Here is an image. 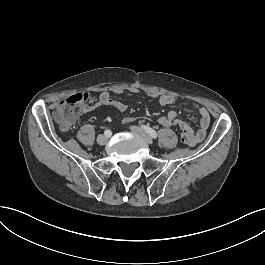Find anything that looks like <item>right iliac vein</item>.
Masks as SVG:
<instances>
[{"mask_svg":"<svg viewBox=\"0 0 265 265\" xmlns=\"http://www.w3.org/2000/svg\"><path fill=\"white\" fill-rule=\"evenodd\" d=\"M107 140H108V137L105 136V135H99L97 137V142H98L99 145H105Z\"/></svg>","mask_w":265,"mask_h":265,"instance_id":"1","label":"right iliac vein"}]
</instances>
